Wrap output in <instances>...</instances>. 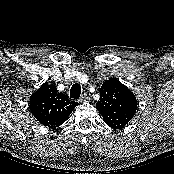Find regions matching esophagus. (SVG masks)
Wrapping results in <instances>:
<instances>
[{
	"label": "esophagus",
	"instance_id": "1",
	"mask_svg": "<svg viewBox=\"0 0 174 174\" xmlns=\"http://www.w3.org/2000/svg\"><path fill=\"white\" fill-rule=\"evenodd\" d=\"M88 97H87V94H83L80 99H79V102H85L87 101Z\"/></svg>",
	"mask_w": 174,
	"mask_h": 174
}]
</instances>
